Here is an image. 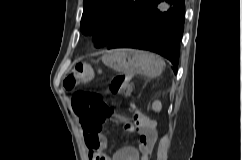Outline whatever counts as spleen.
<instances>
[{"label":"spleen","instance_id":"obj_1","mask_svg":"<svg viewBox=\"0 0 242 160\" xmlns=\"http://www.w3.org/2000/svg\"><path fill=\"white\" fill-rule=\"evenodd\" d=\"M158 57V56H157ZM158 59H159V62H160V64H161V66H162V69H163V67L165 66V63H164V61H162L159 57H158ZM162 69H161V72H162Z\"/></svg>","mask_w":242,"mask_h":160}]
</instances>
